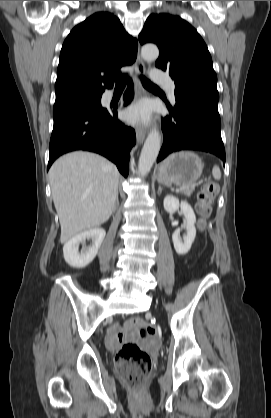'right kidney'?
Listing matches in <instances>:
<instances>
[{
  "instance_id": "right-kidney-1",
  "label": "right kidney",
  "mask_w": 271,
  "mask_h": 418,
  "mask_svg": "<svg viewBox=\"0 0 271 418\" xmlns=\"http://www.w3.org/2000/svg\"><path fill=\"white\" fill-rule=\"evenodd\" d=\"M105 230L102 228H93L84 231L67 241L63 247L65 261L72 267L83 268L90 264L96 257L98 250L104 240ZM87 239L92 240V245L83 248L79 253V244Z\"/></svg>"
}]
</instances>
